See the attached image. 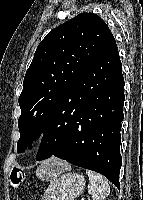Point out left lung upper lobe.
Segmentation results:
<instances>
[{
    "label": "left lung upper lobe",
    "instance_id": "obj_1",
    "mask_svg": "<svg viewBox=\"0 0 143 200\" xmlns=\"http://www.w3.org/2000/svg\"><path fill=\"white\" fill-rule=\"evenodd\" d=\"M113 38L99 16L83 13L53 29L40 42L18 100V152L40 136L54 114L55 121L62 123L68 113L61 106L63 96Z\"/></svg>",
    "mask_w": 143,
    "mask_h": 200
}]
</instances>
